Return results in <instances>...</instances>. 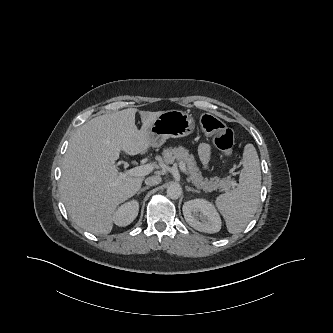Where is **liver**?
Here are the masks:
<instances>
[{
    "mask_svg": "<svg viewBox=\"0 0 333 333\" xmlns=\"http://www.w3.org/2000/svg\"><path fill=\"white\" fill-rule=\"evenodd\" d=\"M137 111L128 108L91 119L77 129L64 156L62 201L73 222L95 235L111 232L118 205L141 188L143 177L123 176L115 162L121 151L148 152L147 129L163 111H139L140 130L135 125Z\"/></svg>",
    "mask_w": 333,
    "mask_h": 333,
    "instance_id": "1",
    "label": "liver"
}]
</instances>
